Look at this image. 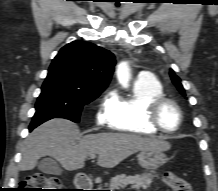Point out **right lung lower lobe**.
Returning <instances> with one entry per match:
<instances>
[{
	"instance_id": "98d812e1",
	"label": "right lung lower lobe",
	"mask_w": 218,
	"mask_h": 191,
	"mask_svg": "<svg viewBox=\"0 0 218 191\" xmlns=\"http://www.w3.org/2000/svg\"><path fill=\"white\" fill-rule=\"evenodd\" d=\"M33 129H34V128H33V127H31V126L29 127V130H30V131H32Z\"/></svg>"
}]
</instances>
